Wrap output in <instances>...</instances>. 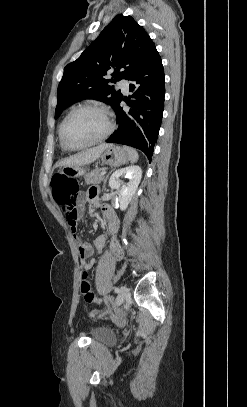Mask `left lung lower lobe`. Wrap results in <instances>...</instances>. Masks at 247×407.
Listing matches in <instances>:
<instances>
[{
  "mask_svg": "<svg viewBox=\"0 0 247 407\" xmlns=\"http://www.w3.org/2000/svg\"><path fill=\"white\" fill-rule=\"evenodd\" d=\"M131 109L125 112L119 101L114 108L118 129L106 140L107 143L128 145L143 151L151 160L162 122L165 96V75L161 57L153 50L142 66L130 79Z\"/></svg>",
  "mask_w": 247,
  "mask_h": 407,
  "instance_id": "left-lung-lower-lobe-1",
  "label": "left lung lower lobe"
}]
</instances>
